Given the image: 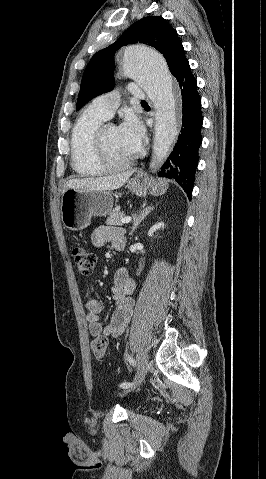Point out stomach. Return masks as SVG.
I'll use <instances>...</instances> for the list:
<instances>
[{
  "label": "stomach",
  "instance_id": "stomach-1",
  "mask_svg": "<svg viewBox=\"0 0 266 479\" xmlns=\"http://www.w3.org/2000/svg\"><path fill=\"white\" fill-rule=\"evenodd\" d=\"M128 188L141 196L146 192L145 184L139 179H131ZM167 190L165 181H155L151 193L162 195ZM113 208V196L110 191H83L68 189L62 194L60 211L64 226L73 231L85 229L93 216H106Z\"/></svg>",
  "mask_w": 266,
  "mask_h": 479
}]
</instances>
